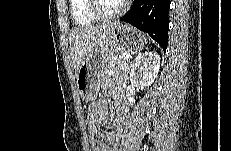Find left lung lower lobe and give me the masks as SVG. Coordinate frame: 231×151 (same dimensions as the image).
Here are the masks:
<instances>
[{
    "label": "left lung lower lobe",
    "mask_w": 231,
    "mask_h": 151,
    "mask_svg": "<svg viewBox=\"0 0 231 151\" xmlns=\"http://www.w3.org/2000/svg\"><path fill=\"white\" fill-rule=\"evenodd\" d=\"M169 0H135L121 21L147 32L164 49L168 44Z\"/></svg>",
    "instance_id": "obj_1"
}]
</instances>
